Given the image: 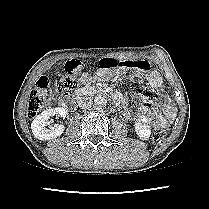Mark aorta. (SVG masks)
<instances>
[{"mask_svg":"<svg viewBox=\"0 0 209 209\" xmlns=\"http://www.w3.org/2000/svg\"><path fill=\"white\" fill-rule=\"evenodd\" d=\"M94 101L99 107H105L107 105V99L103 96H97Z\"/></svg>","mask_w":209,"mask_h":209,"instance_id":"1","label":"aorta"}]
</instances>
